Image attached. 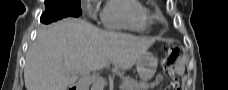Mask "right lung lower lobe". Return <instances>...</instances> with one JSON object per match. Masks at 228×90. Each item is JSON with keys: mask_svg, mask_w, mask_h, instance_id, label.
<instances>
[{"mask_svg": "<svg viewBox=\"0 0 228 90\" xmlns=\"http://www.w3.org/2000/svg\"><path fill=\"white\" fill-rule=\"evenodd\" d=\"M56 9L54 8H46V11L42 14L41 16V21L43 23H51L53 21L59 20L61 18H64L66 16L62 15V14H55Z\"/></svg>", "mask_w": 228, "mask_h": 90, "instance_id": "right-lung-lower-lobe-1", "label": "right lung lower lobe"}]
</instances>
